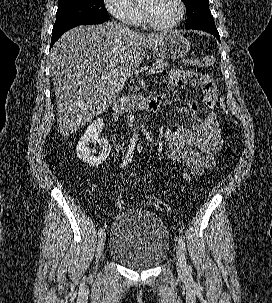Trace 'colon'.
I'll use <instances>...</instances> for the list:
<instances>
[{"label": "colon", "mask_w": 272, "mask_h": 303, "mask_svg": "<svg viewBox=\"0 0 272 303\" xmlns=\"http://www.w3.org/2000/svg\"><path fill=\"white\" fill-rule=\"evenodd\" d=\"M213 57L212 56H203V57H194V58H185L181 61L182 64L184 65H188V66H196V67H210L213 64ZM219 107L221 109L222 112L227 113V108H226V103L225 100L223 98L220 99L219 101ZM146 200L149 204L155 206L156 208H158L161 211L164 212H169L170 211V207L160 201L159 199H157L155 196L149 195L146 197ZM124 203V199L122 197V195H118L117 196V204L118 206H122Z\"/></svg>", "instance_id": "colon-1"}]
</instances>
